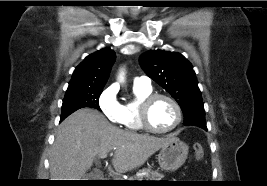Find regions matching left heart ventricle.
<instances>
[{"mask_svg": "<svg viewBox=\"0 0 267 186\" xmlns=\"http://www.w3.org/2000/svg\"><path fill=\"white\" fill-rule=\"evenodd\" d=\"M149 119L157 129L169 128L176 120L175 108L168 100L157 99L151 106Z\"/></svg>", "mask_w": 267, "mask_h": 186, "instance_id": "b2bd125f", "label": "left heart ventricle"}]
</instances>
